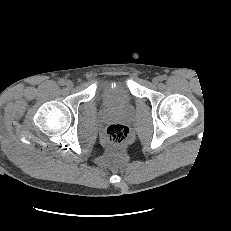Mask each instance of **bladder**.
Here are the masks:
<instances>
[{"label": "bladder", "instance_id": "1", "mask_svg": "<svg viewBox=\"0 0 231 231\" xmlns=\"http://www.w3.org/2000/svg\"><path fill=\"white\" fill-rule=\"evenodd\" d=\"M101 98L107 106H122L131 100L128 85L123 81L105 83L101 88Z\"/></svg>", "mask_w": 231, "mask_h": 231}]
</instances>
